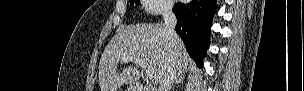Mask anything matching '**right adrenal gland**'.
<instances>
[{
  "mask_svg": "<svg viewBox=\"0 0 304 91\" xmlns=\"http://www.w3.org/2000/svg\"><path fill=\"white\" fill-rule=\"evenodd\" d=\"M184 79H185V74H183L182 72L178 73V75L175 77L174 81L172 82L171 86H170V89L178 84V83H182L184 82Z\"/></svg>",
  "mask_w": 304,
  "mask_h": 91,
  "instance_id": "right-adrenal-gland-1",
  "label": "right adrenal gland"
}]
</instances>
